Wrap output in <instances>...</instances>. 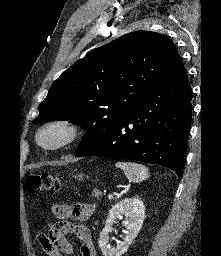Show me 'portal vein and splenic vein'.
<instances>
[{"label": "portal vein and splenic vein", "mask_w": 221, "mask_h": 256, "mask_svg": "<svg viewBox=\"0 0 221 256\" xmlns=\"http://www.w3.org/2000/svg\"><path fill=\"white\" fill-rule=\"evenodd\" d=\"M108 198H109L110 200H113V199H114V196H113L112 194H109V195H108Z\"/></svg>", "instance_id": "obj_1"}]
</instances>
